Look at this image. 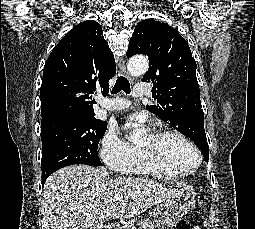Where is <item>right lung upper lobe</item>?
<instances>
[{"mask_svg": "<svg viewBox=\"0 0 255 229\" xmlns=\"http://www.w3.org/2000/svg\"><path fill=\"white\" fill-rule=\"evenodd\" d=\"M115 73L114 56L101 26L93 20L81 22L62 38L45 63L42 120L95 115L92 95L101 90L106 96Z\"/></svg>", "mask_w": 255, "mask_h": 229, "instance_id": "obj_1", "label": "right lung upper lobe"}]
</instances>
